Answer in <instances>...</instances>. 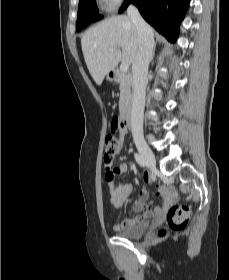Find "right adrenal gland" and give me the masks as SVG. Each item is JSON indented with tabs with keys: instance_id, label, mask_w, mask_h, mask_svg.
<instances>
[{
	"instance_id": "obj_1",
	"label": "right adrenal gland",
	"mask_w": 229,
	"mask_h": 280,
	"mask_svg": "<svg viewBox=\"0 0 229 280\" xmlns=\"http://www.w3.org/2000/svg\"><path fill=\"white\" fill-rule=\"evenodd\" d=\"M155 49H156V44L154 45V49H153L152 56H151V61H152V60H153V58H154V55H155Z\"/></svg>"
}]
</instances>
